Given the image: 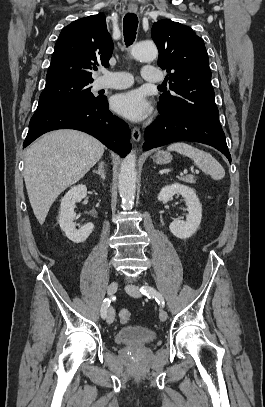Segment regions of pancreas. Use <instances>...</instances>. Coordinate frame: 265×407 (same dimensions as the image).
Wrapping results in <instances>:
<instances>
[{"instance_id": "cf45deb5", "label": "pancreas", "mask_w": 265, "mask_h": 407, "mask_svg": "<svg viewBox=\"0 0 265 407\" xmlns=\"http://www.w3.org/2000/svg\"><path fill=\"white\" fill-rule=\"evenodd\" d=\"M179 179L183 182L190 183V184H194L196 182V179L193 175H186L184 177H180Z\"/></svg>"}]
</instances>
